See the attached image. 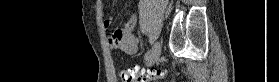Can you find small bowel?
<instances>
[{
  "label": "small bowel",
  "instance_id": "small-bowel-1",
  "mask_svg": "<svg viewBox=\"0 0 279 82\" xmlns=\"http://www.w3.org/2000/svg\"><path fill=\"white\" fill-rule=\"evenodd\" d=\"M100 10H103L101 6ZM112 17L104 20V28H111ZM136 17L133 15L125 24L124 27L111 30L108 37V44L111 48L122 51L128 54L136 53L138 42L135 37Z\"/></svg>",
  "mask_w": 279,
  "mask_h": 82
}]
</instances>
